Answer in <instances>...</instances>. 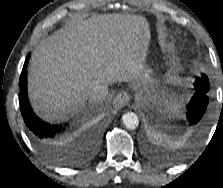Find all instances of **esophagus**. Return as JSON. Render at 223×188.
Instances as JSON below:
<instances>
[{
    "instance_id": "obj_1",
    "label": "esophagus",
    "mask_w": 223,
    "mask_h": 188,
    "mask_svg": "<svg viewBox=\"0 0 223 188\" xmlns=\"http://www.w3.org/2000/svg\"><path fill=\"white\" fill-rule=\"evenodd\" d=\"M130 101V95L126 91L119 92L113 99V107L115 109H122L128 105Z\"/></svg>"
}]
</instances>
